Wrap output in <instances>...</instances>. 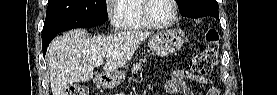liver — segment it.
I'll use <instances>...</instances> for the list:
<instances>
[{"label":"liver","mask_w":277,"mask_h":95,"mask_svg":"<svg viewBox=\"0 0 277 95\" xmlns=\"http://www.w3.org/2000/svg\"><path fill=\"white\" fill-rule=\"evenodd\" d=\"M150 34L133 30L90 37L86 30L76 29L55 38L47 52L52 95H63L69 84L92 79L98 60L106 58L105 73L116 71Z\"/></svg>","instance_id":"1"}]
</instances>
